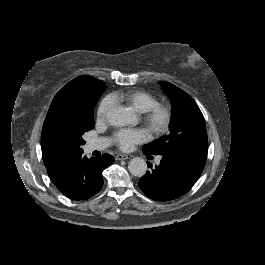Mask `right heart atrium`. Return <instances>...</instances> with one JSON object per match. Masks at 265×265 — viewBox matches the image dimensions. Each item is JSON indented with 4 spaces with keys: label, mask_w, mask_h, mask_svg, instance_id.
Segmentation results:
<instances>
[{
    "label": "right heart atrium",
    "mask_w": 265,
    "mask_h": 265,
    "mask_svg": "<svg viewBox=\"0 0 265 265\" xmlns=\"http://www.w3.org/2000/svg\"><path fill=\"white\" fill-rule=\"evenodd\" d=\"M115 108V103L112 100L111 97L106 96L104 97L98 107H97V111H96V118L97 121L99 122H106L109 119V116L111 114V112L114 110Z\"/></svg>",
    "instance_id": "obj_1"
}]
</instances>
